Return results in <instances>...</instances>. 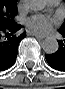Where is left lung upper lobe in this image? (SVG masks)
<instances>
[{"instance_id": "1", "label": "left lung upper lobe", "mask_w": 65, "mask_h": 89, "mask_svg": "<svg viewBox=\"0 0 65 89\" xmlns=\"http://www.w3.org/2000/svg\"><path fill=\"white\" fill-rule=\"evenodd\" d=\"M59 30H61V31H64V32H65V21H64L63 25L61 26V28H60Z\"/></svg>"}]
</instances>
